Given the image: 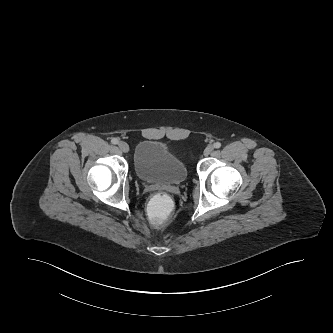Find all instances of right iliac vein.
<instances>
[{
	"instance_id": "1",
	"label": "right iliac vein",
	"mask_w": 333,
	"mask_h": 333,
	"mask_svg": "<svg viewBox=\"0 0 333 333\" xmlns=\"http://www.w3.org/2000/svg\"><path fill=\"white\" fill-rule=\"evenodd\" d=\"M118 147L124 153H127L129 151V146L126 142H123V141L119 142Z\"/></svg>"
}]
</instances>
